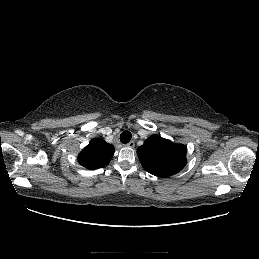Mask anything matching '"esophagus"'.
<instances>
[{"mask_svg": "<svg viewBox=\"0 0 259 259\" xmlns=\"http://www.w3.org/2000/svg\"><path fill=\"white\" fill-rule=\"evenodd\" d=\"M127 147L133 148L135 146L134 141H130L129 143L126 144Z\"/></svg>", "mask_w": 259, "mask_h": 259, "instance_id": "obj_1", "label": "esophagus"}]
</instances>
